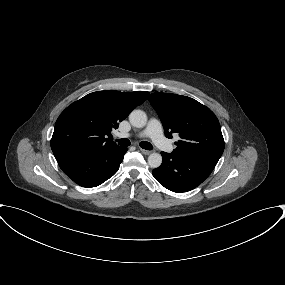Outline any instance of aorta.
Listing matches in <instances>:
<instances>
[{
    "mask_svg": "<svg viewBox=\"0 0 285 285\" xmlns=\"http://www.w3.org/2000/svg\"><path fill=\"white\" fill-rule=\"evenodd\" d=\"M129 121L133 127L143 128L147 124V115L142 110H133L129 115ZM148 164L151 168H158L162 164V156L159 153H151Z\"/></svg>",
    "mask_w": 285,
    "mask_h": 285,
    "instance_id": "762f6f07",
    "label": "aorta"
}]
</instances>
